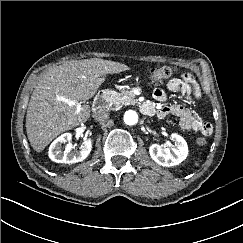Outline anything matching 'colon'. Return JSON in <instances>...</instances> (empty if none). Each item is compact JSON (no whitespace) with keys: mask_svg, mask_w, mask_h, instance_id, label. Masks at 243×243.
Listing matches in <instances>:
<instances>
[{"mask_svg":"<svg viewBox=\"0 0 243 243\" xmlns=\"http://www.w3.org/2000/svg\"><path fill=\"white\" fill-rule=\"evenodd\" d=\"M174 73V68L171 66H159L151 69L150 71V80L154 84H160L167 79H169ZM196 143L199 146H204L207 143V139L203 136H200L196 139Z\"/></svg>","mask_w":243,"mask_h":243,"instance_id":"1","label":"colon"}]
</instances>
